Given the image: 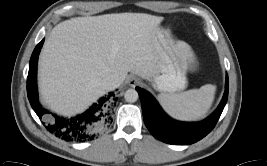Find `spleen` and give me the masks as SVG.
Wrapping results in <instances>:
<instances>
[{
	"instance_id": "3e777b00",
	"label": "spleen",
	"mask_w": 267,
	"mask_h": 166,
	"mask_svg": "<svg viewBox=\"0 0 267 166\" xmlns=\"http://www.w3.org/2000/svg\"><path fill=\"white\" fill-rule=\"evenodd\" d=\"M216 86L207 84L200 89L189 90L180 94H160L159 99L164 109L173 117L181 120H198L205 116L211 107Z\"/></svg>"
}]
</instances>
